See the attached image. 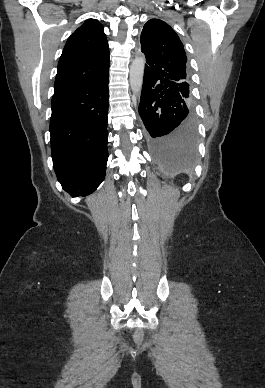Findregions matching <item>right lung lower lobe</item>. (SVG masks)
<instances>
[{
    "label": "right lung lower lobe",
    "instance_id": "1",
    "mask_svg": "<svg viewBox=\"0 0 265 388\" xmlns=\"http://www.w3.org/2000/svg\"><path fill=\"white\" fill-rule=\"evenodd\" d=\"M109 75L54 91L50 120L53 167L65 191L94 192L108 159Z\"/></svg>",
    "mask_w": 265,
    "mask_h": 388
}]
</instances>
